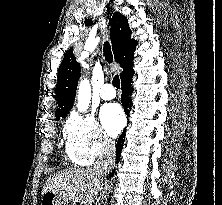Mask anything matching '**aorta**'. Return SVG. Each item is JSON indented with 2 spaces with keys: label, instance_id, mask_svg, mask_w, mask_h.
<instances>
[{
  "label": "aorta",
  "instance_id": "aorta-1",
  "mask_svg": "<svg viewBox=\"0 0 222 205\" xmlns=\"http://www.w3.org/2000/svg\"><path fill=\"white\" fill-rule=\"evenodd\" d=\"M77 99L78 111H86L89 107L91 100V86L87 79H84L79 83Z\"/></svg>",
  "mask_w": 222,
  "mask_h": 205
}]
</instances>
